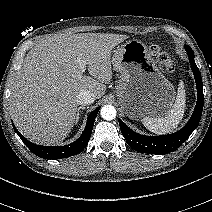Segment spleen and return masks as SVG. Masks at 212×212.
<instances>
[{"mask_svg":"<svg viewBox=\"0 0 212 212\" xmlns=\"http://www.w3.org/2000/svg\"><path fill=\"white\" fill-rule=\"evenodd\" d=\"M186 107V93L184 83L181 80L177 90L175 103L164 117H145L142 119L143 125L155 134H167L177 129L181 122Z\"/></svg>","mask_w":212,"mask_h":212,"instance_id":"3e777b00","label":"spleen"}]
</instances>
